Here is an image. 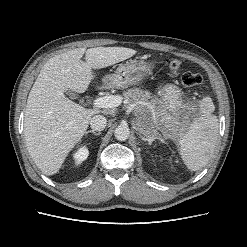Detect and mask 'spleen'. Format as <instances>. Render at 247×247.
I'll return each instance as SVG.
<instances>
[{"instance_id": "1", "label": "spleen", "mask_w": 247, "mask_h": 247, "mask_svg": "<svg viewBox=\"0 0 247 247\" xmlns=\"http://www.w3.org/2000/svg\"><path fill=\"white\" fill-rule=\"evenodd\" d=\"M215 106L210 97L200 103L202 115L194 120L179 142L184 164L191 171L204 167L214 151L218 139V119L212 112Z\"/></svg>"}]
</instances>
